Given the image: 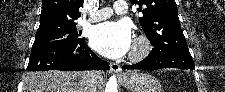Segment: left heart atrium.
I'll list each match as a JSON object with an SVG mask.
<instances>
[{"instance_id":"39dd6f15","label":"left heart atrium","mask_w":225,"mask_h":92,"mask_svg":"<svg viewBox=\"0 0 225 92\" xmlns=\"http://www.w3.org/2000/svg\"><path fill=\"white\" fill-rule=\"evenodd\" d=\"M90 43L100 54L108 58H120L131 48V28L123 20L101 23L92 29Z\"/></svg>"}]
</instances>
